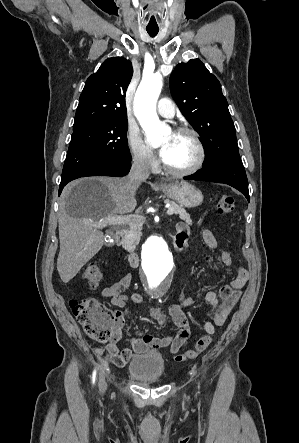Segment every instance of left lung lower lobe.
Segmentation results:
<instances>
[{
  "instance_id": "left-lung-lower-lobe-1",
  "label": "left lung lower lobe",
  "mask_w": 299,
  "mask_h": 443,
  "mask_svg": "<svg viewBox=\"0 0 299 443\" xmlns=\"http://www.w3.org/2000/svg\"><path fill=\"white\" fill-rule=\"evenodd\" d=\"M184 179L225 183L238 189L250 201L248 181L243 165L234 163L214 164L203 167L195 174L184 177Z\"/></svg>"
}]
</instances>
